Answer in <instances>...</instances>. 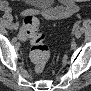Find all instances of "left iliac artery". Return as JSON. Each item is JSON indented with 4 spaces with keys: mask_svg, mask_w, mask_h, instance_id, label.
Masks as SVG:
<instances>
[{
    "mask_svg": "<svg viewBox=\"0 0 91 91\" xmlns=\"http://www.w3.org/2000/svg\"><path fill=\"white\" fill-rule=\"evenodd\" d=\"M80 21H78L75 25L77 26V27H79V25H80Z\"/></svg>",
    "mask_w": 91,
    "mask_h": 91,
    "instance_id": "obj_1",
    "label": "left iliac artery"
}]
</instances>
